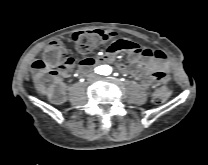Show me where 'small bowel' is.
Masks as SVG:
<instances>
[{"instance_id":"obj_1","label":"small bowel","mask_w":208,"mask_h":165,"mask_svg":"<svg viewBox=\"0 0 208 165\" xmlns=\"http://www.w3.org/2000/svg\"><path fill=\"white\" fill-rule=\"evenodd\" d=\"M105 39L102 42L113 40L105 51V59L113 61L120 53H126L129 64L120 63L118 69L122 73H129L136 78L143 79L147 86H157L169 80L171 64L164 52L141 48L136 42L127 39H116V32L103 31ZM103 61L101 56L78 57L77 63L82 67H91ZM71 66L61 69L60 75L68 77ZM61 102V100H55Z\"/></svg>"}]
</instances>
